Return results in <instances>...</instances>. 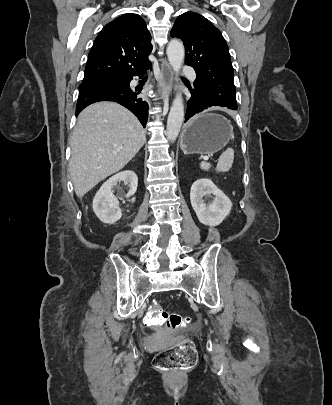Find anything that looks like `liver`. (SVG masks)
Masks as SVG:
<instances>
[{"mask_svg":"<svg viewBox=\"0 0 332 405\" xmlns=\"http://www.w3.org/2000/svg\"><path fill=\"white\" fill-rule=\"evenodd\" d=\"M145 141L142 125L123 106L98 102L86 107L71 136L69 172L76 195L83 197L124 168Z\"/></svg>","mask_w":332,"mask_h":405,"instance_id":"6515ba94","label":"liver"}]
</instances>
